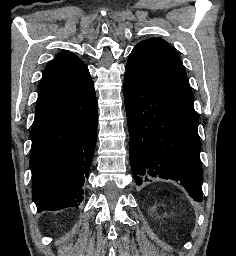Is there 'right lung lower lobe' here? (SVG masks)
Here are the masks:
<instances>
[{
    "mask_svg": "<svg viewBox=\"0 0 236 256\" xmlns=\"http://www.w3.org/2000/svg\"><path fill=\"white\" fill-rule=\"evenodd\" d=\"M97 122L93 81L35 116L30 168L38 212L77 207L82 202Z\"/></svg>",
    "mask_w": 236,
    "mask_h": 256,
    "instance_id": "right-lung-lower-lobe-1",
    "label": "right lung lower lobe"
}]
</instances>
